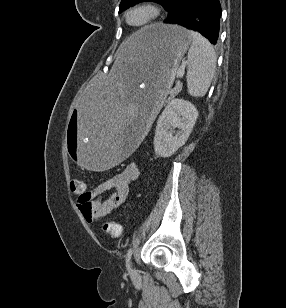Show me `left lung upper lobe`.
Instances as JSON below:
<instances>
[{"instance_id":"obj_1","label":"left lung upper lobe","mask_w":286,"mask_h":308,"mask_svg":"<svg viewBox=\"0 0 286 308\" xmlns=\"http://www.w3.org/2000/svg\"><path fill=\"white\" fill-rule=\"evenodd\" d=\"M142 1H152L161 4L164 9L168 10L172 0H121L119 6V13L123 12L125 9L131 7L132 5L142 2Z\"/></svg>"}]
</instances>
